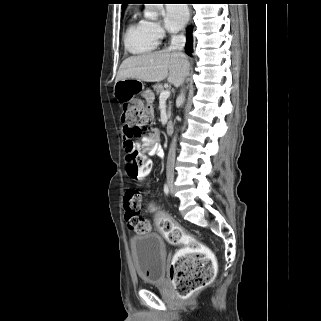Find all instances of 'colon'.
Masks as SVG:
<instances>
[{
  "mask_svg": "<svg viewBox=\"0 0 321 321\" xmlns=\"http://www.w3.org/2000/svg\"><path fill=\"white\" fill-rule=\"evenodd\" d=\"M150 121V110L140 100L124 102L122 122L133 137H140ZM125 162L127 172L132 178H142L150 172V160L137 151L127 154ZM140 204V192L135 188L126 189L124 209L127 225L136 233H146L151 229V224L148 219L140 215ZM155 221L170 244L182 246L170 269L177 292L187 297L208 285L216 273L212 252L165 214L157 213Z\"/></svg>",
  "mask_w": 321,
  "mask_h": 321,
  "instance_id": "obj_1",
  "label": "colon"
}]
</instances>
